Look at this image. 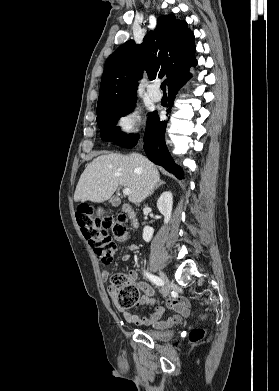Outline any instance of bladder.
Listing matches in <instances>:
<instances>
[{
    "label": "bladder",
    "instance_id": "bladder-1",
    "mask_svg": "<svg viewBox=\"0 0 279 391\" xmlns=\"http://www.w3.org/2000/svg\"><path fill=\"white\" fill-rule=\"evenodd\" d=\"M145 334L155 341H168L171 339L173 333L171 331H163L156 329H149L145 331Z\"/></svg>",
    "mask_w": 279,
    "mask_h": 391
}]
</instances>
